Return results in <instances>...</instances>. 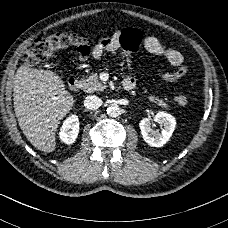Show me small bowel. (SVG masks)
I'll list each match as a JSON object with an SVG mask.
<instances>
[{"label":"small bowel","mask_w":228,"mask_h":228,"mask_svg":"<svg viewBox=\"0 0 228 228\" xmlns=\"http://www.w3.org/2000/svg\"><path fill=\"white\" fill-rule=\"evenodd\" d=\"M143 44L145 50L148 53L154 56L162 57L166 59L170 65L174 67H179L174 71L162 72L160 76L163 80L167 82H173L182 77V74L178 72V70L186 71V68L181 67L184 61V57L180 51L174 48L164 46L159 41V39L154 36L146 37ZM141 46V31L136 27H126L121 31L116 32L112 37L101 39L90 50V52H84L80 54L78 59L80 61H86L90 56L95 59H100L105 54V52L115 53L116 51L120 50L124 53V56L127 58V63L128 65H130L131 56L134 55L141 48Z\"/></svg>","instance_id":"c3829d8e"}]
</instances>
